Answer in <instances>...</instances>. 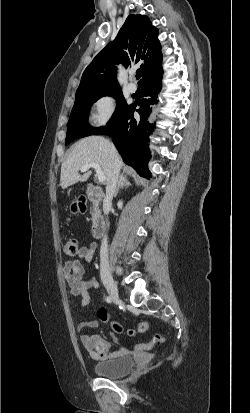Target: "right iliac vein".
I'll return each mask as SVG.
<instances>
[{
    "label": "right iliac vein",
    "mask_w": 250,
    "mask_h": 413,
    "mask_svg": "<svg viewBox=\"0 0 250 413\" xmlns=\"http://www.w3.org/2000/svg\"><path fill=\"white\" fill-rule=\"evenodd\" d=\"M103 284L106 287L109 295L115 303H120L121 299L114 280L108 274L102 275Z\"/></svg>",
    "instance_id": "right-iliac-vein-1"
}]
</instances>
